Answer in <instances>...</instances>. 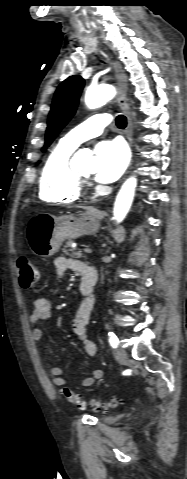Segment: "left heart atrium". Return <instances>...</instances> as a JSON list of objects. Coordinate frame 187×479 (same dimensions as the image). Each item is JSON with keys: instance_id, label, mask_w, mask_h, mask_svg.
I'll list each match as a JSON object with an SVG mask.
<instances>
[{"instance_id": "obj_1", "label": "left heart atrium", "mask_w": 187, "mask_h": 479, "mask_svg": "<svg viewBox=\"0 0 187 479\" xmlns=\"http://www.w3.org/2000/svg\"><path fill=\"white\" fill-rule=\"evenodd\" d=\"M95 155L99 162L95 178L101 183L117 180L124 172L128 162L126 148L117 140L99 142L95 147Z\"/></svg>"}]
</instances>
